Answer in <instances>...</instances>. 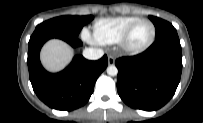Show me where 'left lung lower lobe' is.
<instances>
[{
  "label": "left lung lower lobe",
  "instance_id": "obj_1",
  "mask_svg": "<svg viewBox=\"0 0 203 123\" xmlns=\"http://www.w3.org/2000/svg\"><path fill=\"white\" fill-rule=\"evenodd\" d=\"M117 90L129 106L153 111L164 106L174 95L182 72V51L177 33L160 38L143 53L121 57Z\"/></svg>",
  "mask_w": 203,
  "mask_h": 123
}]
</instances>
